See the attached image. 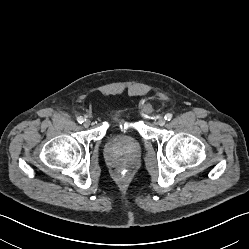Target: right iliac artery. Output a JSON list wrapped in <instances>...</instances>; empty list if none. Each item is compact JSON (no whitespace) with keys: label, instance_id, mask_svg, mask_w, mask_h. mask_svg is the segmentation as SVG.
I'll list each match as a JSON object with an SVG mask.
<instances>
[{"label":"right iliac artery","instance_id":"82829eb1","mask_svg":"<svg viewBox=\"0 0 249 249\" xmlns=\"http://www.w3.org/2000/svg\"><path fill=\"white\" fill-rule=\"evenodd\" d=\"M77 121L78 123L82 124L84 122V118L80 116L77 118Z\"/></svg>","mask_w":249,"mask_h":249}]
</instances>
